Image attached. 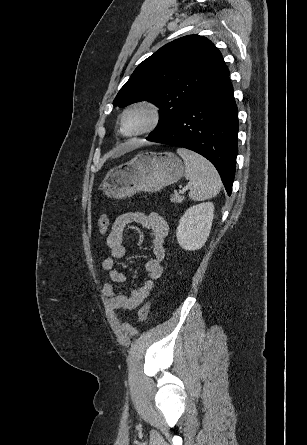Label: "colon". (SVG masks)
Listing matches in <instances>:
<instances>
[{
    "label": "colon",
    "mask_w": 307,
    "mask_h": 445,
    "mask_svg": "<svg viewBox=\"0 0 307 445\" xmlns=\"http://www.w3.org/2000/svg\"><path fill=\"white\" fill-rule=\"evenodd\" d=\"M110 225V218L107 214H102L99 216L97 221V229L98 232L103 235L107 232ZM151 307V301H148L145 303L138 311V320L139 322H144L148 316V313L150 311Z\"/></svg>",
    "instance_id": "5ec220e1"
}]
</instances>
